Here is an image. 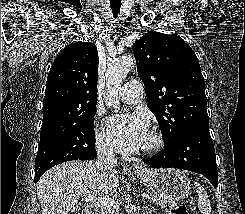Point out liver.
I'll list each match as a JSON object with an SVG mask.
<instances>
[{
	"mask_svg": "<svg viewBox=\"0 0 245 214\" xmlns=\"http://www.w3.org/2000/svg\"><path fill=\"white\" fill-rule=\"evenodd\" d=\"M118 185L116 170L98 168L94 162L72 161L48 170L37 184V196L42 214H68L80 197H109Z\"/></svg>",
	"mask_w": 245,
	"mask_h": 214,
	"instance_id": "6515ba94",
	"label": "liver"
}]
</instances>
